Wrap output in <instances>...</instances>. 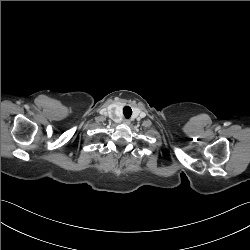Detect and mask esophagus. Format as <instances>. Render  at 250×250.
I'll list each match as a JSON object with an SVG mask.
<instances>
[{
	"label": "esophagus",
	"mask_w": 250,
	"mask_h": 250,
	"mask_svg": "<svg viewBox=\"0 0 250 250\" xmlns=\"http://www.w3.org/2000/svg\"><path fill=\"white\" fill-rule=\"evenodd\" d=\"M123 124H125V125H129V124H130V120H128V119H124V120H123Z\"/></svg>",
	"instance_id": "obj_1"
}]
</instances>
